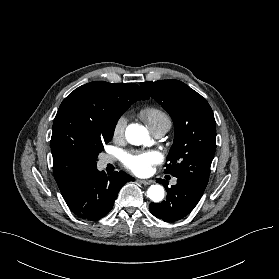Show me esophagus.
Wrapping results in <instances>:
<instances>
[{
	"mask_svg": "<svg viewBox=\"0 0 279 279\" xmlns=\"http://www.w3.org/2000/svg\"><path fill=\"white\" fill-rule=\"evenodd\" d=\"M139 182L144 185H149V184H152L154 181L153 180H139Z\"/></svg>",
	"mask_w": 279,
	"mask_h": 279,
	"instance_id": "34e87169",
	"label": "esophagus"
}]
</instances>
